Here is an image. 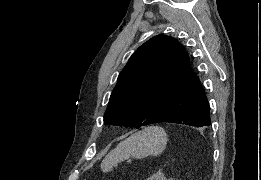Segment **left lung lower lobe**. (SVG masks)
<instances>
[{
	"label": "left lung lower lobe",
	"mask_w": 261,
	"mask_h": 180,
	"mask_svg": "<svg viewBox=\"0 0 261 180\" xmlns=\"http://www.w3.org/2000/svg\"><path fill=\"white\" fill-rule=\"evenodd\" d=\"M179 123L197 128L211 124L210 106L199 78L191 73L168 106L151 122Z\"/></svg>",
	"instance_id": "left-lung-lower-lobe-1"
}]
</instances>
